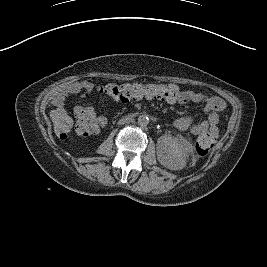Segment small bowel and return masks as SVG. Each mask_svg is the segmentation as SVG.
Listing matches in <instances>:
<instances>
[{"label": "small bowel", "instance_id": "small-bowel-1", "mask_svg": "<svg viewBox=\"0 0 267 267\" xmlns=\"http://www.w3.org/2000/svg\"><path fill=\"white\" fill-rule=\"evenodd\" d=\"M95 89V84L89 81L76 82L69 85L64 95L79 94L86 96L92 94ZM175 103H202L204 111L207 113V118L199 123H194L191 116L178 118L174 121V126L180 131L190 130L193 134L199 135L201 133H209L214 138L219 135L220 113L225 109V102L216 96H208L198 90H180L179 98L174 101ZM63 100L61 97L55 101V108L52 116L58 110H62ZM80 111L84 118V125L77 122L76 129L79 134L88 135L97 134L106 124L104 117L98 116L95 110L90 106H75L73 108L74 114Z\"/></svg>", "mask_w": 267, "mask_h": 267}]
</instances>
